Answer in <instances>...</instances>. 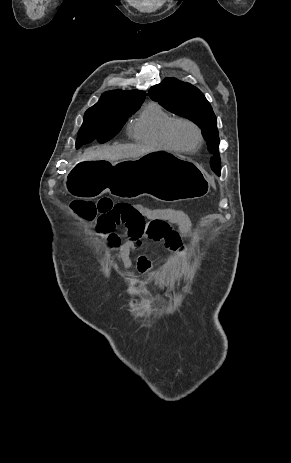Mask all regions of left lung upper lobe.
I'll use <instances>...</instances> for the list:
<instances>
[{
	"mask_svg": "<svg viewBox=\"0 0 291 463\" xmlns=\"http://www.w3.org/2000/svg\"><path fill=\"white\" fill-rule=\"evenodd\" d=\"M149 96L167 110L193 121L202 129L209 151L214 154L211 168L218 175L221 167L217 119L203 93L189 83L165 78L149 89Z\"/></svg>",
	"mask_w": 291,
	"mask_h": 463,
	"instance_id": "obj_1",
	"label": "left lung upper lobe"
}]
</instances>
